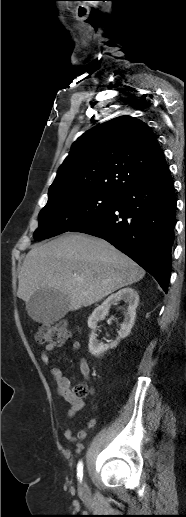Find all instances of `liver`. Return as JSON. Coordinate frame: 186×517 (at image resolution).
<instances>
[{"label": "liver", "instance_id": "6515ba94", "mask_svg": "<svg viewBox=\"0 0 186 517\" xmlns=\"http://www.w3.org/2000/svg\"><path fill=\"white\" fill-rule=\"evenodd\" d=\"M144 275V269L107 241L67 233L28 252L19 270L17 296L27 304L38 290L54 289L67 296L68 310L75 311Z\"/></svg>", "mask_w": 186, "mask_h": 517}]
</instances>
